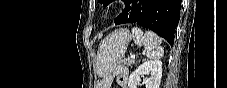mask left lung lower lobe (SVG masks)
Returning a JSON list of instances; mask_svg holds the SVG:
<instances>
[{
	"label": "left lung lower lobe",
	"instance_id": "1",
	"mask_svg": "<svg viewBox=\"0 0 227 88\" xmlns=\"http://www.w3.org/2000/svg\"><path fill=\"white\" fill-rule=\"evenodd\" d=\"M125 10L115 24L135 23L156 32L173 46L181 0H124Z\"/></svg>",
	"mask_w": 227,
	"mask_h": 88
}]
</instances>
